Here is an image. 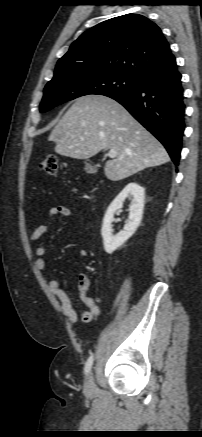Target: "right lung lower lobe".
<instances>
[{
    "label": "right lung lower lobe",
    "mask_w": 202,
    "mask_h": 437,
    "mask_svg": "<svg viewBox=\"0 0 202 437\" xmlns=\"http://www.w3.org/2000/svg\"><path fill=\"white\" fill-rule=\"evenodd\" d=\"M176 60L142 78L129 91L111 95L150 131L178 165L185 128V104Z\"/></svg>",
    "instance_id": "98d812e1"
}]
</instances>
